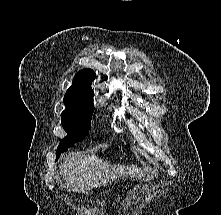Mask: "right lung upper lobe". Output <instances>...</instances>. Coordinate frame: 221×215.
<instances>
[{
    "label": "right lung upper lobe",
    "instance_id": "cb5924a9",
    "mask_svg": "<svg viewBox=\"0 0 221 215\" xmlns=\"http://www.w3.org/2000/svg\"><path fill=\"white\" fill-rule=\"evenodd\" d=\"M96 74L91 69L79 71L64 96L66 108H76L92 103L94 92L91 88V82L95 79Z\"/></svg>",
    "mask_w": 221,
    "mask_h": 215
}]
</instances>
